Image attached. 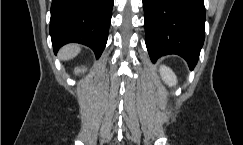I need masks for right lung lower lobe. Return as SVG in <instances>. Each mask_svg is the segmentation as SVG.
<instances>
[{"instance_id": "98d812e1", "label": "right lung lower lobe", "mask_w": 243, "mask_h": 145, "mask_svg": "<svg viewBox=\"0 0 243 145\" xmlns=\"http://www.w3.org/2000/svg\"><path fill=\"white\" fill-rule=\"evenodd\" d=\"M114 0H53L50 35L54 52L76 42L89 46L98 59L103 52Z\"/></svg>"}]
</instances>
